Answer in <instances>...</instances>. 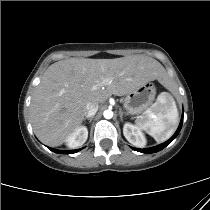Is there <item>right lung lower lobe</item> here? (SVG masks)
I'll list each match as a JSON object with an SVG mask.
<instances>
[{"label": "right lung lower lobe", "instance_id": "98d812e1", "mask_svg": "<svg viewBox=\"0 0 210 210\" xmlns=\"http://www.w3.org/2000/svg\"><path fill=\"white\" fill-rule=\"evenodd\" d=\"M49 149L55 153H60V154H73L79 151V150H56L53 148H49Z\"/></svg>", "mask_w": 210, "mask_h": 210}]
</instances>
